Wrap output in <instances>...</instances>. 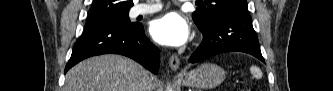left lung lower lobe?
I'll list each match as a JSON object with an SVG mask.
<instances>
[{
  "label": "left lung lower lobe",
  "instance_id": "obj_1",
  "mask_svg": "<svg viewBox=\"0 0 333 91\" xmlns=\"http://www.w3.org/2000/svg\"><path fill=\"white\" fill-rule=\"evenodd\" d=\"M200 31L203 33V41L191 55V63L234 51L249 53L264 62L249 11L223 14Z\"/></svg>",
  "mask_w": 333,
  "mask_h": 91
}]
</instances>
